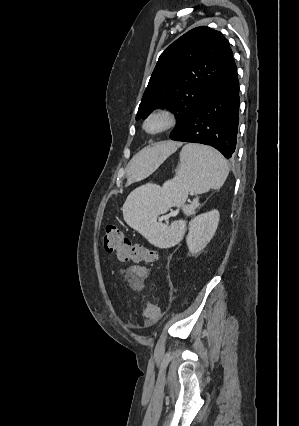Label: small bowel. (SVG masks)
<instances>
[{"instance_id":"obj_1","label":"small bowel","mask_w":299,"mask_h":426,"mask_svg":"<svg viewBox=\"0 0 299 426\" xmlns=\"http://www.w3.org/2000/svg\"><path fill=\"white\" fill-rule=\"evenodd\" d=\"M129 285L135 290H141L149 276V270L142 265H132L128 271H122Z\"/></svg>"}]
</instances>
